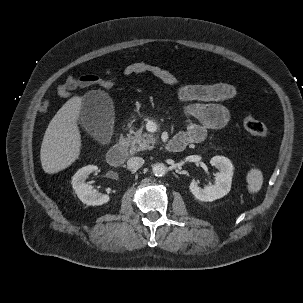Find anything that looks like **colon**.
Instances as JSON below:
<instances>
[{"label":"colon","mask_w":303,"mask_h":303,"mask_svg":"<svg viewBox=\"0 0 303 303\" xmlns=\"http://www.w3.org/2000/svg\"><path fill=\"white\" fill-rule=\"evenodd\" d=\"M102 87L105 89L112 88L116 83V77L114 75H106L101 78ZM241 123L245 130H247L252 135L260 138H267L270 135L269 128L261 121L255 119L250 115H244L242 117Z\"/></svg>","instance_id":"5ec220e1"}]
</instances>
